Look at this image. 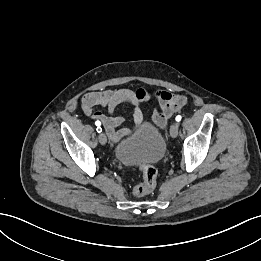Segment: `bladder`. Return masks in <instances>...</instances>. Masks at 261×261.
Wrapping results in <instances>:
<instances>
[{"mask_svg": "<svg viewBox=\"0 0 261 261\" xmlns=\"http://www.w3.org/2000/svg\"><path fill=\"white\" fill-rule=\"evenodd\" d=\"M166 153L162 133L151 124H142L131 136L114 148L115 159L125 166H142L159 162Z\"/></svg>", "mask_w": 261, "mask_h": 261, "instance_id": "obj_1", "label": "bladder"}]
</instances>
